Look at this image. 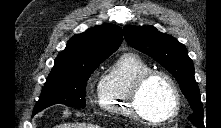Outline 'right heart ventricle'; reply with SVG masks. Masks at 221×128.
I'll list each match as a JSON object with an SVG mask.
<instances>
[{
  "label": "right heart ventricle",
  "instance_id": "1",
  "mask_svg": "<svg viewBox=\"0 0 221 128\" xmlns=\"http://www.w3.org/2000/svg\"><path fill=\"white\" fill-rule=\"evenodd\" d=\"M151 69L139 54L127 52L117 57L100 81L98 100L101 109L114 116L133 118L129 93L135 80Z\"/></svg>",
  "mask_w": 221,
  "mask_h": 128
}]
</instances>
